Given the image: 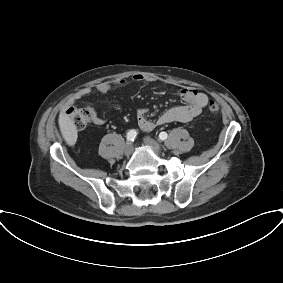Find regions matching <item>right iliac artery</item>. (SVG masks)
<instances>
[{
  "label": "right iliac artery",
  "instance_id": "82829eb1",
  "mask_svg": "<svg viewBox=\"0 0 283 283\" xmlns=\"http://www.w3.org/2000/svg\"><path fill=\"white\" fill-rule=\"evenodd\" d=\"M137 136V131L132 129L127 133V141L133 142Z\"/></svg>",
  "mask_w": 283,
  "mask_h": 283
}]
</instances>
